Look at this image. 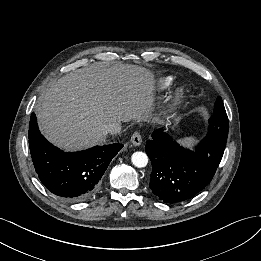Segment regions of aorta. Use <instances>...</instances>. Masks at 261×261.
<instances>
[{
  "label": "aorta",
  "mask_w": 261,
  "mask_h": 261,
  "mask_svg": "<svg viewBox=\"0 0 261 261\" xmlns=\"http://www.w3.org/2000/svg\"><path fill=\"white\" fill-rule=\"evenodd\" d=\"M131 161L135 167L142 168L148 163V156L143 152H135L131 157Z\"/></svg>",
  "instance_id": "obj_1"
}]
</instances>
